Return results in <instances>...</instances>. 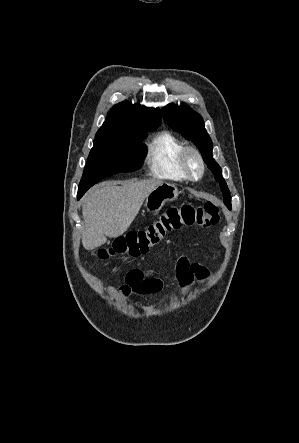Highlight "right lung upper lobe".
<instances>
[{"label": "right lung upper lobe", "instance_id": "right-lung-upper-lobe-1", "mask_svg": "<svg viewBox=\"0 0 299 443\" xmlns=\"http://www.w3.org/2000/svg\"><path fill=\"white\" fill-rule=\"evenodd\" d=\"M110 110L106 121L97 131L96 137L127 131H137L149 125H160L159 109H151L139 104L122 102Z\"/></svg>", "mask_w": 299, "mask_h": 443}]
</instances>
